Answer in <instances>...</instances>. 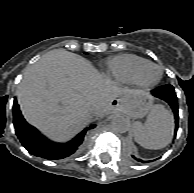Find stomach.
<instances>
[{"label":"stomach","mask_w":194,"mask_h":193,"mask_svg":"<svg viewBox=\"0 0 194 193\" xmlns=\"http://www.w3.org/2000/svg\"><path fill=\"white\" fill-rule=\"evenodd\" d=\"M116 108L127 116L137 119L147 115L152 108V98L147 93L133 97L129 101L118 99L114 102Z\"/></svg>","instance_id":"1"}]
</instances>
